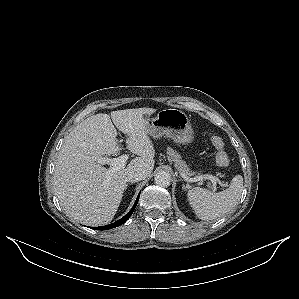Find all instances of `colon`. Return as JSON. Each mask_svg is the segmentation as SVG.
<instances>
[{
	"instance_id": "1",
	"label": "colon",
	"mask_w": 299,
	"mask_h": 299,
	"mask_svg": "<svg viewBox=\"0 0 299 299\" xmlns=\"http://www.w3.org/2000/svg\"><path fill=\"white\" fill-rule=\"evenodd\" d=\"M210 140L216 152L217 165L220 167H226L229 163V157L225 150L223 139L219 136L213 135Z\"/></svg>"
}]
</instances>
